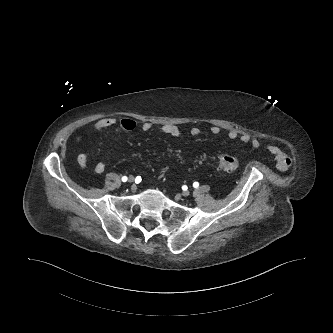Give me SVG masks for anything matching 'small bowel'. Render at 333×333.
<instances>
[{"mask_svg":"<svg viewBox=\"0 0 333 333\" xmlns=\"http://www.w3.org/2000/svg\"><path fill=\"white\" fill-rule=\"evenodd\" d=\"M116 125L114 133L111 138V147H115L118 138L122 132L132 131L136 128L137 123L133 119L125 118L122 119L119 123H117L116 119L113 117L103 118L97 121L92 129L93 133H99L109 127ZM152 128V124L150 122H143L141 124V130L144 132L149 131ZM162 131L170 136L179 137L184 135L186 132L181 129L179 126L175 124H165L162 127ZM220 128L218 126H212L210 128V132L213 135H218L220 133ZM201 133V129L197 126H193L189 129V134L192 136H198ZM228 138L230 140H240L243 143H250L252 147L259 148L260 140L256 137H252L249 134L243 133L240 134L235 130H231L228 132ZM266 150L274 156L279 167L289 168L292 165V160L290 157L279 147L276 145H267ZM78 165L82 169H86L88 166V156L86 154H80L77 158ZM106 166L105 163L100 161L95 165V172L97 174H103L105 172Z\"/></svg>","mask_w":333,"mask_h":333,"instance_id":"1","label":"small bowel"}]
</instances>
